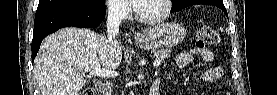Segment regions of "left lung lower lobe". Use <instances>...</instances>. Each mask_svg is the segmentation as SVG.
<instances>
[{"instance_id": "1", "label": "left lung lower lobe", "mask_w": 277, "mask_h": 95, "mask_svg": "<svg viewBox=\"0 0 277 95\" xmlns=\"http://www.w3.org/2000/svg\"><path fill=\"white\" fill-rule=\"evenodd\" d=\"M196 4H209V5L219 7L227 15V11H226V8H225L222 0H193L192 2L186 4L183 8L191 6V5H196ZM183 8H181V9H183ZM181 9H179L177 11H180ZM177 11H174V12H177Z\"/></svg>"}]
</instances>
